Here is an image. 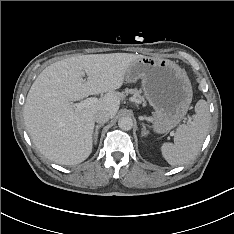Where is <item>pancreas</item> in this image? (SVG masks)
Instances as JSON below:
<instances>
[{
	"label": "pancreas",
	"instance_id": "1",
	"mask_svg": "<svg viewBox=\"0 0 234 234\" xmlns=\"http://www.w3.org/2000/svg\"><path fill=\"white\" fill-rule=\"evenodd\" d=\"M125 93L128 94H132L133 97L138 101V102H142L144 101L143 96L141 95V92L138 89H126Z\"/></svg>",
	"mask_w": 234,
	"mask_h": 234
}]
</instances>
